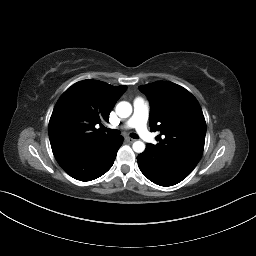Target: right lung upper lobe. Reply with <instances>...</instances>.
Returning a JSON list of instances; mask_svg holds the SVG:
<instances>
[{"instance_id":"cb5924a9","label":"right lung upper lobe","mask_w":256,"mask_h":256,"mask_svg":"<svg viewBox=\"0 0 256 256\" xmlns=\"http://www.w3.org/2000/svg\"><path fill=\"white\" fill-rule=\"evenodd\" d=\"M126 89V86L114 87L98 80H83L62 94L48 126L57 161L114 137L96 129L95 125L109 120L111 109Z\"/></svg>"}]
</instances>
